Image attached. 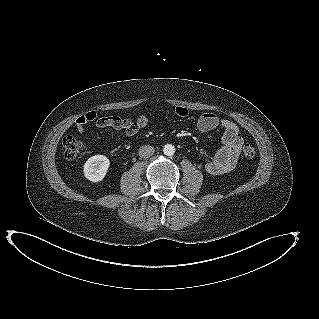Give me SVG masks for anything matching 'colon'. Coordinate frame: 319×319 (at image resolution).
<instances>
[{
  "label": "colon",
  "mask_w": 319,
  "mask_h": 319,
  "mask_svg": "<svg viewBox=\"0 0 319 319\" xmlns=\"http://www.w3.org/2000/svg\"><path fill=\"white\" fill-rule=\"evenodd\" d=\"M95 117L94 113L90 112L81 116L76 123L86 124L88 121L93 120ZM64 156L68 159H73L78 155L84 153L86 146L74 136H66L63 139ZM243 155L246 159L252 160L256 155V150L251 145H245L243 148Z\"/></svg>",
  "instance_id": "obj_1"
}]
</instances>
